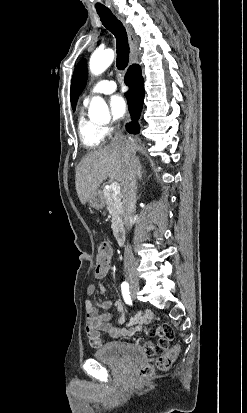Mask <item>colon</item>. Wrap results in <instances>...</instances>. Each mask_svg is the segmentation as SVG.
I'll use <instances>...</instances> for the list:
<instances>
[{
  "instance_id": "5ec220e1",
  "label": "colon",
  "mask_w": 247,
  "mask_h": 413,
  "mask_svg": "<svg viewBox=\"0 0 247 413\" xmlns=\"http://www.w3.org/2000/svg\"><path fill=\"white\" fill-rule=\"evenodd\" d=\"M109 248L107 245H98L96 247V256L92 258V263L95 265L92 268V275L99 277L100 275L109 274V258L107 257ZM169 353H164L163 357H158L156 366L160 370L170 369L177 357V352L181 350L182 345L180 342H173ZM152 372V366L145 365L140 368L137 379L138 381H149L150 374Z\"/></svg>"
}]
</instances>
